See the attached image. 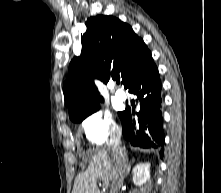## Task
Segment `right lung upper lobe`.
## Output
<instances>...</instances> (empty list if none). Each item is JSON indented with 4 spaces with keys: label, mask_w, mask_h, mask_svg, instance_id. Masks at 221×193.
Masks as SVG:
<instances>
[{
    "label": "right lung upper lobe",
    "mask_w": 221,
    "mask_h": 193,
    "mask_svg": "<svg viewBox=\"0 0 221 193\" xmlns=\"http://www.w3.org/2000/svg\"><path fill=\"white\" fill-rule=\"evenodd\" d=\"M86 25L81 56L70 63L72 74L64 83L71 120L99 109V93L91 92L94 78L104 83L120 78L128 88L132 77L152 60L143 40L118 18L99 15L88 19Z\"/></svg>",
    "instance_id": "cb5924a9"
}]
</instances>
